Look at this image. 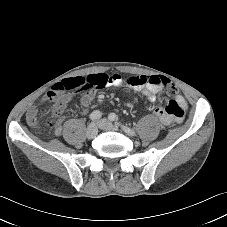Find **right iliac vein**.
I'll use <instances>...</instances> for the list:
<instances>
[{"label":"right iliac vein","mask_w":227,"mask_h":227,"mask_svg":"<svg viewBox=\"0 0 227 227\" xmlns=\"http://www.w3.org/2000/svg\"><path fill=\"white\" fill-rule=\"evenodd\" d=\"M98 133V127L95 123H91L86 129V136L89 139L94 138Z\"/></svg>","instance_id":"63e3f726"}]
</instances>
